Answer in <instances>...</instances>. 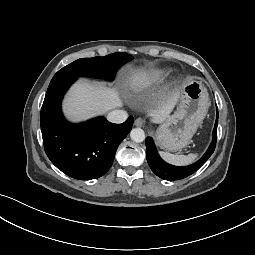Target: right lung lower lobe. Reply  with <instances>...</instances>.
I'll use <instances>...</instances> for the list:
<instances>
[{
    "instance_id": "1",
    "label": "right lung lower lobe",
    "mask_w": 255,
    "mask_h": 255,
    "mask_svg": "<svg viewBox=\"0 0 255 255\" xmlns=\"http://www.w3.org/2000/svg\"><path fill=\"white\" fill-rule=\"evenodd\" d=\"M75 80L50 83L41 108L42 138L48 158L58 169L72 178L91 180L110 169L119 144L132 128L133 117L122 124L110 123L104 117L80 124L66 121L61 100Z\"/></svg>"
}]
</instances>
